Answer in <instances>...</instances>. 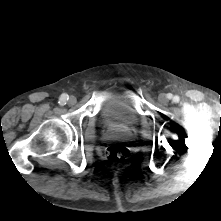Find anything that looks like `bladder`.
<instances>
[{
  "instance_id": "bladder-1",
  "label": "bladder",
  "mask_w": 221,
  "mask_h": 221,
  "mask_svg": "<svg viewBox=\"0 0 221 221\" xmlns=\"http://www.w3.org/2000/svg\"><path fill=\"white\" fill-rule=\"evenodd\" d=\"M99 118L109 130L135 129L140 125V116L129 99L111 95L100 107Z\"/></svg>"
}]
</instances>
